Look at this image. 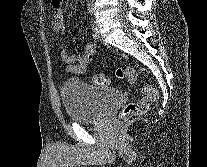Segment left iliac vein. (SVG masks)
<instances>
[{
    "label": "left iliac vein",
    "instance_id": "left-iliac-vein-1",
    "mask_svg": "<svg viewBox=\"0 0 207 167\" xmlns=\"http://www.w3.org/2000/svg\"><path fill=\"white\" fill-rule=\"evenodd\" d=\"M93 29L97 34L100 32L98 22L95 18H93Z\"/></svg>",
    "mask_w": 207,
    "mask_h": 167
}]
</instances>
